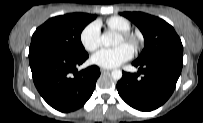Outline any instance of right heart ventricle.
Here are the masks:
<instances>
[{
  "instance_id": "right-heart-ventricle-1",
  "label": "right heart ventricle",
  "mask_w": 203,
  "mask_h": 123,
  "mask_svg": "<svg viewBox=\"0 0 203 123\" xmlns=\"http://www.w3.org/2000/svg\"><path fill=\"white\" fill-rule=\"evenodd\" d=\"M107 25L118 32L129 31L131 29V23L124 17L112 16L106 21Z\"/></svg>"
}]
</instances>
